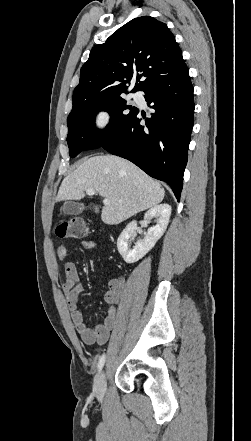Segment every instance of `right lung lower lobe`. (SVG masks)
I'll return each mask as SVG.
<instances>
[{
  "label": "right lung lower lobe",
  "mask_w": 251,
  "mask_h": 441,
  "mask_svg": "<svg viewBox=\"0 0 251 441\" xmlns=\"http://www.w3.org/2000/svg\"><path fill=\"white\" fill-rule=\"evenodd\" d=\"M151 118L140 124L137 110L128 124L101 146L130 160L153 178L170 185L177 200L183 185L193 128V86L187 66L150 83L144 90Z\"/></svg>",
  "instance_id": "98d812e1"
}]
</instances>
